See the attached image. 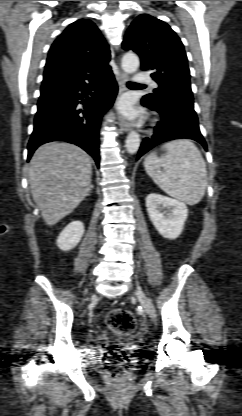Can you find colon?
<instances>
[{"label": "colon", "instance_id": "5ec220e1", "mask_svg": "<svg viewBox=\"0 0 242 416\" xmlns=\"http://www.w3.org/2000/svg\"><path fill=\"white\" fill-rule=\"evenodd\" d=\"M108 327L112 332L118 335H127L132 333L136 328V319L134 315L126 309H114L106 317ZM107 357L109 364L107 370L112 378L116 379L123 376L130 366L127 357L122 350L115 345H107Z\"/></svg>", "mask_w": 242, "mask_h": 416}]
</instances>
